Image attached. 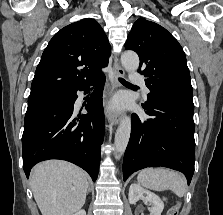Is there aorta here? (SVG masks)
Instances as JSON below:
<instances>
[{
    "instance_id": "1",
    "label": "aorta",
    "mask_w": 223,
    "mask_h": 215,
    "mask_svg": "<svg viewBox=\"0 0 223 215\" xmlns=\"http://www.w3.org/2000/svg\"><path fill=\"white\" fill-rule=\"evenodd\" d=\"M121 64L126 72H135L139 68V58L135 52H124L121 56ZM131 133V119L124 115L115 133L114 145L118 153H124Z\"/></svg>"
}]
</instances>
